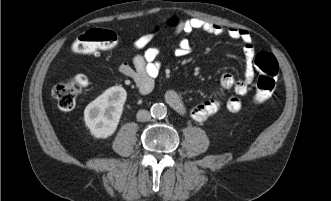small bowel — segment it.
<instances>
[{
  "instance_id": "1",
  "label": "small bowel",
  "mask_w": 331,
  "mask_h": 201,
  "mask_svg": "<svg viewBox=\"0 0 331 201\" xmlns=\"http://www.w3.org/2000/svg\"><path fill=\"white\" fill-rule=\"evenodd\" d=\"M167 24L173 28L174 34L180 36L177 46L172 53L175 57H183L190 53L191 47L186 36L194 31H202L210 35H227L231 39L240 40L244 43L245 70L241 79L236 80L229 72H224L220 77V84L223 89H233L234 95L225 102L219 99H207L191 108L183 102L181 96L173 89L165 93L166 102L179 113H188L196 121H204L208 117L218 112L223 106L232 113L238 112L242 107L240 96L247 94L249 86L252 84L255 71L253 67L254 46L252 35L249 31L239 28H225L221 25L209 23L199 18L180 19L171 17ZM156 34L155 30L138 37L133 45L142 53L135 55L130 63H122L119 71L126 77L133 80L141 94L149 93L154 86V79L161 69L159 60L160 49L158 47H148L149 42Z\"/></svg>"
}]
</instances>
